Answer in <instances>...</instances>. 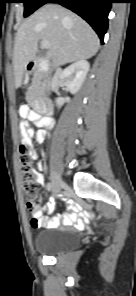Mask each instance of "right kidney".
I'll use <instances>...</instances> for the list:
<instances>
[{"instance_id":"right-kidney-1","label":"right kidney","mask_w":136,"mask_h":296,"mask_svg":"<svg viewBox=\"0 0 136 296\" xmlns=\"http://www.w3.org/2000/svg\"><path fill=\"white\" fill-rule=\"evenodd\" d=\"M89 68L90 65L88 61L79 60L62 71L60 78L71 94H76L79 91L86 79ZM69 101L70 98L68 97H59L56 99V104L61 107L64 103Z\"/></svg>"}]
</instances>
